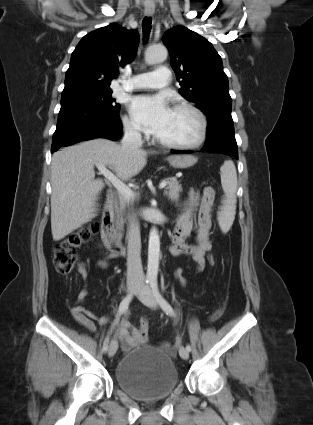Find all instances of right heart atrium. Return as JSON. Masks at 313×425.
Wrapping results in <instances>:
<instances>
[{
    "instance_id": "d8ad5b80",
    "label": "right heart atrium",
    "mask_w": 313,
    "mask_h": 425,
    "mask_svg": "<svg viewBox=\"0 0 313 425\" xmlns=\"http://www.w3.org/2000/svg\"><path fill=\"white\" fill-rule=\"evenodd\" d=\"M123 125H124L125 132L129 136L134 137V138H139L141 136L137 126L135 125V123L130 118L124 117Z\"/></svg>"
}]
</instances>
